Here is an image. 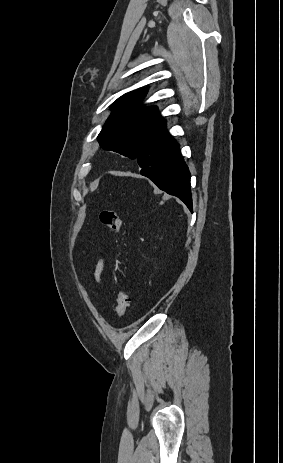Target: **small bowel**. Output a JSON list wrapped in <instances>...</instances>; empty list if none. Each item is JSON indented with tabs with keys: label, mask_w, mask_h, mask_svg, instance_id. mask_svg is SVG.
<instances>
[{
	"label": "small bowel",
	"mask_w": 283,
	"mask_h": 463,
	"mask_svg": "<svg viewBox=\"0 0 283 463\" xmlns=\"http://www.w3.org/2000/svg\"><path fill=\"white\" fill-rule=\"evenodd\" d=\"M103 269H104V262L103 260H100L94 270V278L97 283H101V274L103 272Z\"/></svg>",
	"instance_id": "small-bowel-1"
}]
</instances>
